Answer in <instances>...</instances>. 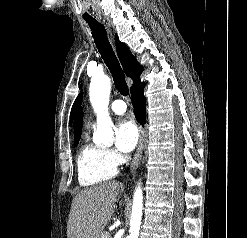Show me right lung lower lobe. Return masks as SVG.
Returning a JSON list of instances; mask_svg holds the SVG:
<instances>
[{"label": "right lung lower lobe", "instance_id": "1", "mask_svg": "<svg viewBox=\"0 0 247 238\" xmlns=\"http://www.w3.org/2000/svg\"><path fill=\"white\" fill-rule=\"evenodd\" d=\"M143 88L144 83H140L133 89H131L132 104L136 111L135 117L137 121L142 125H144L146 119L145 97L143 94Z\"/></svg>", "mask_w": 247, "mask_h": 238}]
</instances>
